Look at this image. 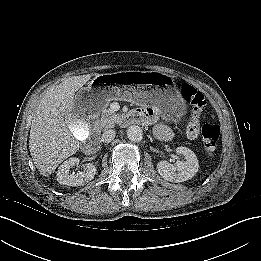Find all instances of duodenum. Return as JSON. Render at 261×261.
I'll return each mask as SVG.
<instances>
[{
    "label": "duodenum",
    "instance_id": "410a0bca",
    "mask_svg": "<svg viewBox=\"0 0 261 261\" xmlns=\"http://www.w3.org/2000/svg\"><path fill=\"white\" fill-rule=\"evenodd\" d=\"M134 121V118L132 114L127 115L124 119V123H131ZM97 130V129H96ZM99 146V140L97 138H91L89 141H87L84 145V151L87 153L94 152Z\"/></svg>",
    "mask_w": 261,
    "mask_h": 261
}]
</instances>
